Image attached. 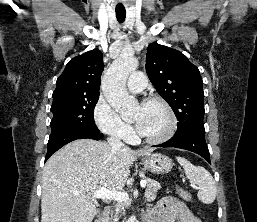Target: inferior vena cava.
<instances>
[{"instance_id": "inferior-vena-cava-1", "label": "inferior vena cava", "mask_w": 257, "mask_h": 222, "mask_svg": "<svg viewBox=\"0 0 257 222\" xmlns=\"http://www.w3.org/2000/svg\"><path fill=\"white\" fill-rule=\"evenodd\" d=\"M108 144L112 148L113 151H117L120 148L124 147V144L121 142V140L117 136H111L107 139Z\"/></svg>"}]
</instances>
